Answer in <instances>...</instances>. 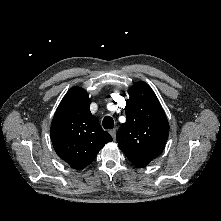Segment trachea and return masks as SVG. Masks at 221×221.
Instances as JSON below:
<instances>
[{"label":"trachea","instance_id":"obj_1","mask_svg":"<svg viewBox=\"0 0 221 221\" xmlns=\"http://www.w3.org/2000/svg\"><path fill=\"white\" fill-rule=\"evenodd\" d=\"M102 123L104 129H112L114 127V120L110 116H106Z\"/></svg>","mask_w":221,"mask_h":221}]
</instances>
